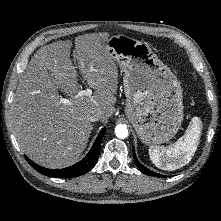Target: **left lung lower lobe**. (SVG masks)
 <instances>
[{
    "mask_svg": "<svg viewBox=\"0 0 221 221\" xmlns=\"http://www.w3.org/2000/svg\"><path fill=\"white\" fill-rule=\"evenodd\" d=\"M133 154H134V161H135L136 165L139 167V169H140L143 173H145L146 175H149V176H161V177H162V175L157 174L156 172H153V171L149 170L148 168L144 167V166L137 160L136 155H135L134 152H133Z\"/></svg>",
    "mask_w": 221,
    "mask_h": 221,
    "instance_id": "1",
    "label": "left lung lower lobe"
}]
</instances>
